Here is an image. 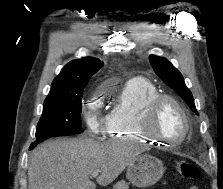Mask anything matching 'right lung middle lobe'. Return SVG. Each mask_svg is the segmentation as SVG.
<instances>
[{
    "instance_id": "right-lung-middle-lobe-1",
    "label": "right lung middle lobe",
    "mask_w": 223,
    "mask_h": 189,
    "mask_svg": "<svg viewBox=\"0 0 223 189\" xmlns=\"http://www.w3.org/2000/svg\"><path fill=\"white\" fill-rule=\"evenodd\" d=\"M83 90L69 95L47 96L36 128V141L83 132L80 119Z\"/></svg>"
}]
</instances>
